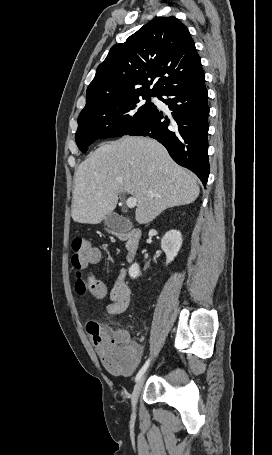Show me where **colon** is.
I'll return each instance as SVG.
<instances>
[{
	"instance_id": "1",
	"label": "colon",
	"mask_w": 272,
	"mask_h": 455,
	"mask_svg": "<svg viewBox=\"0 0 272 455\" xmlns=\"http://www.w3.org/2000/svg\"><path fill=\"white\" fill-rule=\"evenodd\" d=\"M100 260V250L93 247L88 239L77 237L73 240L71 262L74 268L80 271L75 280V290L80 296L91 295L96 299L105 297L104 283L81 272L88 266L97 264ZM86 329L106 369L121 372L130 368L136 357L134 345L123 338L112 335L96 322L88 323Z\"/></svg>"
}]
</instances>
